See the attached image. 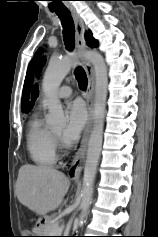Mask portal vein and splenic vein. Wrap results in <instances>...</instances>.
<instances>
[{
    "label": "portal vein and splenic vein",
    "instance_id": "portal-vein-and-splenic-vein-1",
    "mask_svg": "<svg viewBox=\"0 0 158 237\" xmlns=\"http://www.w3.org/2000/svg\"><path fill=\"white\" fill-rule=\"evenodd\" d=\"M63 228H64V226H63V225H61V226H58V232H59V233H61V232L63 231Z\"/></svg>",
    "mask_w": 158,
    "mask_h": 237
}]
</instances>
